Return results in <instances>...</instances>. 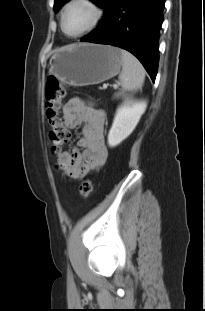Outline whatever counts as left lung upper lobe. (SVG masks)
<instances>
[{
  "label": "left lung upper lobe",
  "mask_w": 205,
  "mask_h": 311,
  "mask_svg": "<svg viewBox=\"0 0 205 311\" xmlns=\"http://www.w3.org/2000/svg\"><path fill=\"white\" fill-rule=\"evenodd\" d=\"M69 0H55L54 1V10L57 11L64 3ZM96 3L98 6L105 9V16L110 12L111 6L114 0H91Z\"/></svg>",
  "instance_id": "5c2ea615"
}]
</instances>
